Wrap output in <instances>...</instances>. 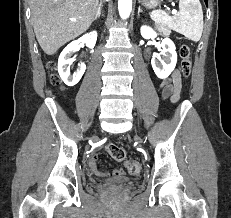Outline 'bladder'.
Masks as SVG:
<instances>
[{"instance_id": "31cf9c89", "label": "bladder", "mask_w": 231, "mask_h": 218, "mask_svg": "<svg viewBox=\"0 0 231 218\" xmlns=\"http://www.w3.org/2000/svg\"><path fill=\"white\" fill-rule=\"evenodd\" d=\"M114 184H119V185H130L133 183V181L130 178L123 177V178H118L113 181H111Z\"/></svg>"}]
</instances>
